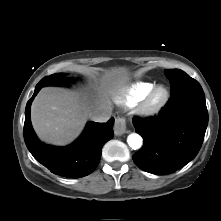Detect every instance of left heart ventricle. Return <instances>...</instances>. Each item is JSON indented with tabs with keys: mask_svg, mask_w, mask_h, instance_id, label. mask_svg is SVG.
<instances>
[{
	"mask_svg": "<svg viewBox=\"0 0 221 221\" xmlns=\"http://www.w3.org/2000/svg\"><path fill=\"white\" fill-rule=\"evenodd\" d=\"M162 95V93L160 92L159 94H158V97H160Z\"/></svg>",
	"mask_w": 221,
	"mask_h": 221,
	"instance_id": "obj_1",
	"label": "left heart ventricle"
}]
</instances>
